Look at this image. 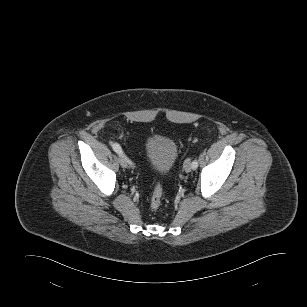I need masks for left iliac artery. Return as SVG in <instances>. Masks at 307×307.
<instances>
[{
    "label": "left iliac artery",
    "mask_w": 307,
    "mask_h": 307,
    "mask_svg": "<svg viewBox=\"0 0 307 307\" xmlns=\"http://www.w3.org/2000/svg\"><path fill=\"white\" fill-rule=\"evenodd\" d=\"M192 169H196L198 167V161L197 159L193 160L191 163Z\"/></svg>",
    "instance_id": "44dca946"
}]
</instances>
